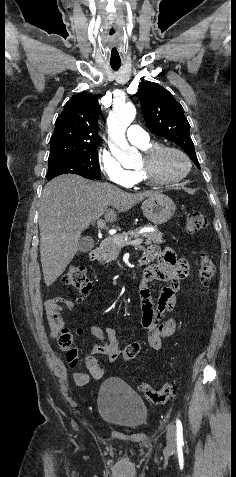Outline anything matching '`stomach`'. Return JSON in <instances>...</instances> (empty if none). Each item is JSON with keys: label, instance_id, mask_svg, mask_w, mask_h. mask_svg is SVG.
<instances>
[{"label": "stomach", "instance_id": "1", "mask_svg": "<svg viewBox=\"0 0 236 477\" xmlns=\"http://www.w3.org/2000/svg\"><path fill=\"white\" fill-rule=\"evenodd\" d=\"M143 215L155 225L166 223L173 216L176 206L165 194L157 193L149 197L142 206Z\"/></svg>", "mask_w": 236, "mask_h": 477}]
</instances>
